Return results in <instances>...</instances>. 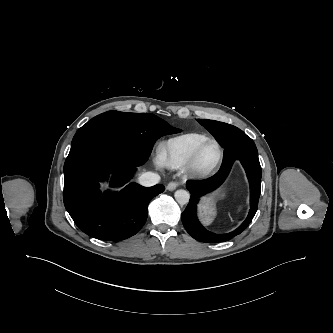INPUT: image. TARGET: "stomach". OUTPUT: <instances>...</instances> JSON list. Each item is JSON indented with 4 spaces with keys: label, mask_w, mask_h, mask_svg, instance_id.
Instances as JSON below:
<instances>
[{
    "label": "stomach",
    "mask_w": 333,
    "mask_h": 333,
    "mask_svg": "<svg viewBox=\"0 0 333 333\" xmlns=\"http://www.w3.org/2000/svg\"><path fill=\"white\" fill-rule=\"evenodd\" d=\"M225 196V186H222L215 192L209 194L208 196L203 197L201 203L199 204V215L202 222L205 225H208L212 222L215 214V202L218 198Z\"/></svg>",
    "instance_id": "stomach-1"
}]
</instances>
